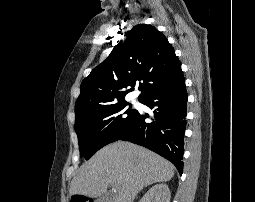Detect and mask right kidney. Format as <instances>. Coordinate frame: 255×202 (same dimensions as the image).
I'll list each match as a JSON object with an SVG mask.
<instances>
[{
    "instance_id": "right-kidney-1",
    "label": "right kidney",
    "mask_w": 255,
    "mask_h": 202,
    "mask_svg": "<svg viewBox=\"0 0 255 202\" xmlns=\"http://www.w3.org/2000/svg\"><path fill=\"white\" fill-rule=\"evenodd\" d=\"M170 190L166 184L153 186L139 202H170Z\"/></svg>"
}]
</instances>
